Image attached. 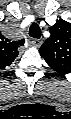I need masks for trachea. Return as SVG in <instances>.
Listing matches in <instances>:
<instances>
[{
  "label": "trachea",
  "instance_id": "3493384b",
  "mask_svg": "<svg viewBox=\"0 0 71 119\" xmlns=\"http://www.w3.org/2000/svg\"><path fill=\"white\" fill-rule=\"evenodd\" d=\"M29 35L33 38L39 39L41 36V30L37 23H33L29 29Z\"/></svg>",
  "mask_w": 71,
  "mask_h": 119
}]
</instances>
